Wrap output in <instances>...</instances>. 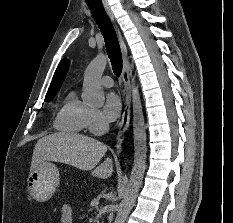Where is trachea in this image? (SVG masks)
Instances as JSON below:
<instances>
[{
	"label": "trachea",
	"mask_w": 233,
	"mask_h": 223,
	"mask_svg": "<svg viewBox=\"0 0 233 223\" xmlns=\"http://www.w3.org/2000/svg\"><path fill=\"white\" fill-rule=\"evenodd\" d=\"M88 7L104 37L107 54L110 58L113 72L119 77L122 72V54L115 29L109 20L101 1L88 4Z\"/></svg>",
	"instance_id": "3493384b"
}]
</instances>
